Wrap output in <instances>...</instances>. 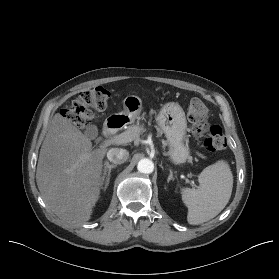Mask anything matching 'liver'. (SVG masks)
<instances>
[{
    "label": "liver",
    "mask_w": 279,
    "mask_h": 279,
    "mask_svg": "<svg viewBox=\"0 0 279 279\" xmlns=\"http://www.w3.org/2000/svg\"><path fill=\"white\" fill-rule=\"evenodd\" d=\"M105 147L92 142L68 119L54 115L40 149L36 182L47 206L70 227L90 220L103 184Z\"/></svg>",
    "instance_id": "obj_1"
}]
</instances>
